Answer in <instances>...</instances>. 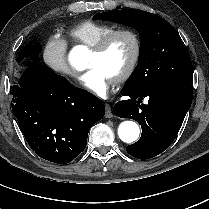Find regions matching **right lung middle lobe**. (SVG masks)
<instances>
[{
  "instance_id": "1",
  "label": "right lung middle lobe",
  "mask_w": 209,
  "mask_h": 209,
  "mask_svg": "<svg viewBox=\"0 0 209 209\" xmlns=\"http://www.w3.org/2000/svg\"><path fill=\"white\" fill-rule=\"evenodd\" d=\"M42 48L39 43H35V45L29 46L25 45L19 52L17 61L20 62L26 56H29L32 60H37L39 57V53L41 52Z\"/></svg>"
}]
</instances>
